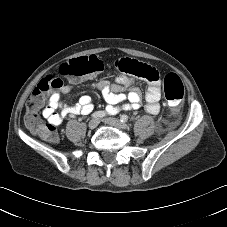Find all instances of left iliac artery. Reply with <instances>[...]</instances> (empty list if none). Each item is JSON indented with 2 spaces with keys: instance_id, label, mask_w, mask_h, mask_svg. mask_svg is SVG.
<instances>
[{
  "instance_id": "44dca946",
  "label": "left iliac artery",
  "mask_w": 227,
  "mask_h": 227,
  "mask_svg": "<svg viewBox=\"0 0 227 227\" xmlns=\"http://www.w3.org/2000/svg\"><path fill=\"white\" fill-rule=\"evenodd\" d=\"M120 119H121L122 123H126L128 121V116L127 115H122Z\"/></svg>"
}]
</instances>
